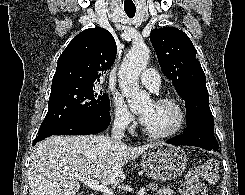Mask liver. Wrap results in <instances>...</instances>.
<instances>
[{
    "instance_id": "1",
    "label": "liver",
    "mask_w": 245,
    "mask_h": 195,
    "mask_svg": "<svg viewBox=\"0 0 245 195\" xmlns=\"http://www.w3.org/2000/svg\"><path fill=\"white\" fill-rule=\"evenodd\" d=\"M156 145L131 147L104 135L51 136L31 156L29 195H82L76 174L118 185L125 180L124 164Z\"/></svg>"
}]
</instances>
